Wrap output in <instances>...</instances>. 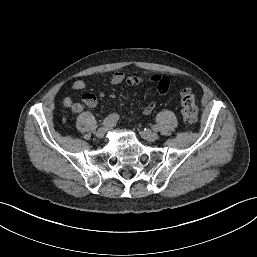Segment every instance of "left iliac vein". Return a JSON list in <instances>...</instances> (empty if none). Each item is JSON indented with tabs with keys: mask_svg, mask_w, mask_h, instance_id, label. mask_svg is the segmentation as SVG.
Masks as SVG:
<instances>
[{
	"mask_svg": "<svg viewBox=\"0 0 257 257\" xmlns=\"http://www.w3.org/2000/svg\"><path fill=\"white\" fill-rule=\"evenodd\" d=\"M140 134L147 141H155L159 137L156 132L150 130L141 131Z\"/></svg>",
	"mask_w": 257,
	"mask_h": 257,
	"instance_id": "4c4485c4",
	"label": "left iliac vein"
}]
</instances>
